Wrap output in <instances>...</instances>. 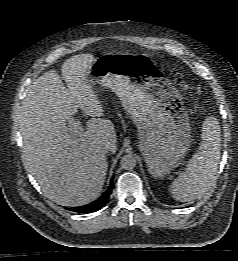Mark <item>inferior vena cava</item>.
Masks as SVG:
<instances>
[{"label": "inferior vena cava", "instance_id": "inferior-vena-cava-1", "mask_svg": "<svg viewBox=\"0 0 238 261\" xmlns=\"http://www.w3.org/2000/svg\"><path fill=\"white\" fill-rule=\"evenodd\" d=\"M102 149H103V151L108 152L110 150L109 144H107V143L103 144Z\"/></svg>", "mask_w": 238, "mask_h": 261}]
</instances>
